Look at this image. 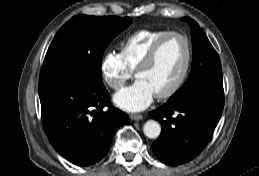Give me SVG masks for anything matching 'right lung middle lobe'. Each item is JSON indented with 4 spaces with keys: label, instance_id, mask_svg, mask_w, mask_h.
<instances>
[{
    "label": "right lung middle lobe",
    "instance_id": "right-lung-middle-lobe-1",
    "mask_svg": "<svg viewBox=\"0 0 259 176\" xmlns=\"http://www.w3.org/2000/svg\"><path fill=\"white\" fill-rule=\"evenodd\" d=\"M131 22L129 17L74 16L59 30L50 44L39 83L60 78H77L93 84H103V52L113 38Z\"/></svg>",
    "mask_w": 259,
    "mask_h": 176
}]
</instances>
